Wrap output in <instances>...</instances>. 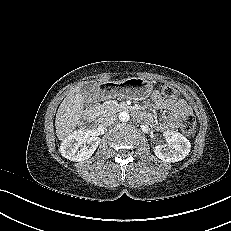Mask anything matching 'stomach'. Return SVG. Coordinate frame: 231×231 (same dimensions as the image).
<instances>
[{
	"mask_svg": "<svg viewBox=\"0 0 231 231\" xmlns=\"http://www.w3.org/2000/svg\"><path fill=\"white\" fill-rule=\"evenodd\" d=\"M109 97H125L133 100H144L153 92L152 82L140 78L130 77L108 84Z\"/></svg>",
	"mask_w": 231,
	"mask_h": 231,
	"instance_id": "stomach-1",
	"label": "stomach"
}]
</instances>
